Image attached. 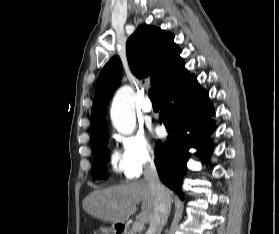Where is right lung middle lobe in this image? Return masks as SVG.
<instances>
[{"label": "right lung middle lobe", "mask_w": 279, "mask_h": 234, "mask_svg": "<svg viewBox=\"0 0 279 234\" xmlns=\"http://www.w3.org/2000/svg\"><path fill=\"white\" fill-rule=\"evenodd\" d=\"M109 135L102 137L92 144L93 149V179L103 178L106 174V161L108 158V148L106 146ZM106 178V177H105Z\"/></svg>", "instance_id": "right-lung-middle-lobe-1"}]
</instances>
